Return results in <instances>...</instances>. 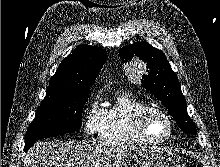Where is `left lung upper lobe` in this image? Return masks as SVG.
I'll return each instance as SVG.
<instances>
[{
	"label": "left lung upper lobe",
	"instance_id": "left-lung-upper-lobe-1",
	"mask_svg": "<svg viewBox=\"0 0 220 167\" xmlns=\"http://www.w3.org/2000/svg\"><path fill=\"white\" fill-rule=\"evenodd\" d=\"M137 56L147 63L142 76V86L158 97L185 134L195 135L196 126L187 113V103L182 94L177 75L171 69L165 54L146 42H137L120 50V58L129 62Z\"/></svg>",
	"mask_w": 220,
	"mask_h": 167
}]
</instances>
